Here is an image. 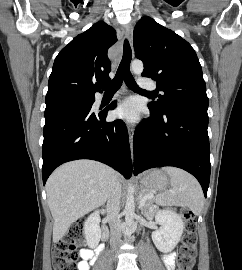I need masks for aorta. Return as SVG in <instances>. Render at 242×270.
<instances>
[{
	"mask_svg": "<svg viewBox=\"0 0 242 270\" xmlns=\"http://www.w3.org/2000/svg\"><path fill=\"white\" fill-rule=\"evenodd\" d=\"M131 69L134 74L141 75L144 69L142 61L134 60L131 63ZM124 214L126 233L130 235L132 233L135 216L134 188L132 186L128 187Z\"/></svg>",
	"mask_w": 242,
	"mask_h": 270,
	"instance_id": "obj_1",
	"label": "aorta"
}]
</instances>
